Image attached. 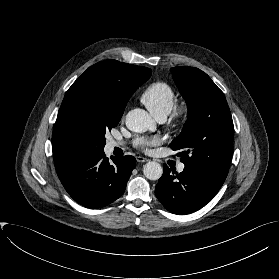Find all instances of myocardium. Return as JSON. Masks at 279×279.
<instances>
[{
    "instance_id": "1",
    "label": "myocardium",
    "mask_w": 279,
    "mask_h": 279,
    "mask_svg": "<svg viewBox=\"0 0 279 279\" xmlns=\"http://www.w3.org/2000/svg\"><path fill=\"white\" fill-rule=\"evenodd\" d=\"M189 116V107L186 104H177L173 108L172 122L175 126L182 125Z\"/></svg>"
}]
</instances>
